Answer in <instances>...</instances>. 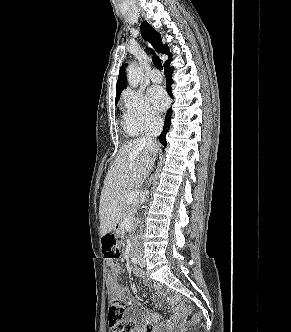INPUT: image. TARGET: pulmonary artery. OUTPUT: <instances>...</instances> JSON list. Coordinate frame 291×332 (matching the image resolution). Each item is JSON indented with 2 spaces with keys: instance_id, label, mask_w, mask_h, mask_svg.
<instances>
[{
  "instance_id": "obj_1",
  "label": "pulmonary artery",
  "mask_w": 291,
  "mask_h": 332,
  "mask_svg": "<svg viewBox=\"0 0 291 332\" xmlns=\"http://www.w3.org/2000/svg\"><path fill=\"white\" fill-rule=\"evenodd\" d=\"M150 79L154 83H160L162 81V76L157 70L152 71Z\"/></svg>"
}]
</instances>
